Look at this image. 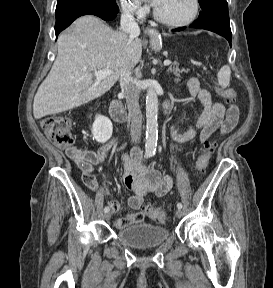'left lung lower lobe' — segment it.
<instances>
[{"label":"left lung lower lobe","instance_id":"obj_1","mask_svg":"<svg viewBox=\"0 0 273 288\" xmlns=\"http://www.w3.org/2000/svg\"><path fill=\"white\" fill-rule=\"evenodd\" d=\"M194 28H202L215 32L225 37L231 46V29L228 14V5L220 6L209 11H201L198 19L191 25ZM185 27L173 31L184 30Z\"/></svg>","mask_w":273,"mask_h":288}]
</instances>
